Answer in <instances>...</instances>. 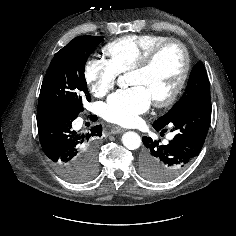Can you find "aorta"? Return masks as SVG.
Returning a JSON list of instances; mask_svg holds the SVG:
<instances>
[{
	"mask_svg": "<svg viewBox=\"0 0 236 236\" xmlns=\"http://www.w3.org/2000/svg\"><path fill=\"white\" fill-rule=\"evenodd\" d=\"M118 83L121 85L122 80L119 79ZM122 143L129 150H135L140 147L141 138L136 132L129 131L124 133V135L122 136Z\"/></svg>",
	"mask_w": 236,
	"mask_h": 236,
	"instance_id": "obj_1",
	"label": "aorta"
}]
</instances>
